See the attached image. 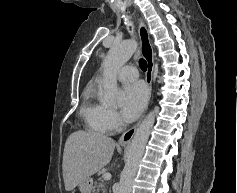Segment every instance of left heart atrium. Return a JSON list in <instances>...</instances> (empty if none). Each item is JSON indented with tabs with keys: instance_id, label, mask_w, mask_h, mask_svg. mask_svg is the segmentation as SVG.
<instances>
[{
	"instance_id": "39dd6f15",
	"label": "left heart atrium",
	"mask_w": 237,
	"mask_h": 193,
	"mask_svg": "<svg viewBox=\"0 0 237 193\" xmlns=\"http://www.w3.org/2000/svg\"><path fill=\"white\" fill-rule=\"evenodd\" d=\"M148 99V91L144 83L137 81L123 89L122 115L125 120H134L144 109Z\"/></svg>"
}]
</instances>
